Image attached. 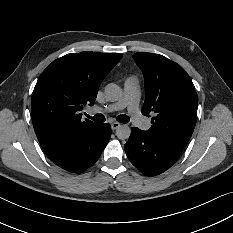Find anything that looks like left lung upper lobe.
<instances>
[{
  "label": "left lung upper lobe",
  "instance_id": "obj_1",
  "mask_svg": "<svg viewBox=\"0 0 233 233\" xmlns=\"http://www.w3.org/2000/svg\"><path fill=\"white\" fill-rule=\"evenodd\" d=\"M133 58L145 79L142 114L155 115L148 136L185 147L197 120L198 97L186 71L168 58L136 53Z\"/></svg>",
  "mask_w": 233,
  "mask_h": 233
}]
</instances>
